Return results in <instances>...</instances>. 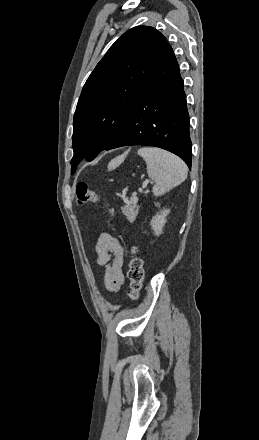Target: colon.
Returning a JSON list of instances; mask_svg holds the SVG:
<instances>
[{"instance_id": "obj_1", "label": "colon", "mask_w": 259, "mask_h": 440, "mask_svg": "<svg viewBox=\"0 0 259 440\" xmlns=\"http://www.w3.org/2000/svg\"><path fill=\"white\" fill-rule=\"evenodd\" d=\"M76 197L79 204L98 203L103 204L110 214H113V209L108 207L102 198L91 190L86 183H78L76 186ZM144 267L142 259L137 255V248L131 249V258L129 261L128 279L130 281L129 297L136 299L139 296L142 284L144 281Z\"/></svg>"}]
</instances>
